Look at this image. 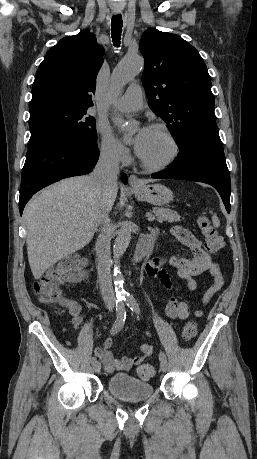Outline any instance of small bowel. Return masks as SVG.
<instances>
[{
    "label": "small bowel",
    "mask_w": 257,
    "mask_h": 459,
    "mask_svg": "<svg viewBox=\"0 0 257 459\" xmlns=\"http://www.w3.org/2000/svg\"><path fill=\"white\" fill-rule=\"evenodd\" d=\"M151 232H156V229L153 228ZM171 232L178 241L191 250L192 255L187 257L155 258L147 263L145 272L148 276L157 279L166 290L171 291L173 282L169 274L163 269V266H172L176 269L177 275L186 281L188 290L193 292L197 288V282L194 277L210 271L213 274V282L203 296L202 302L205 305L223 287V274L217 264L211 260L200 240L191 231L181 226H174ZM69 281L72 282L73 280L70 279ZM66 307L73 317L72 324L74 328H78L82 322L81 305L76 301L68 300ZM165 313L173 320H186L190 316V308L187 302L171 296L166 303ZM203 313L202 309L194 311V315L198 317H201ZM146 336L149 338L150 333L147 332ZM111 346L112 340L106 338L100 346L95 348V355L102 361L104 369L108 373L129 371L134 365L140 364L153 352V347L150 344H141L139 347L140 355L115 359L110 351Z\"/></svg>",
    "instance_id": "small-bowel-1"
}]
</instances>
